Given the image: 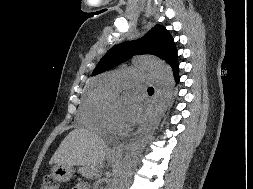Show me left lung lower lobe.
I'll return each instance as SVG.
<instances>
[{
    "instance_id": "obj_1",
    "label": "left lung lower lobe",
    "mask_w": 253,
    "mask_h": 189,
    "mask_svg": "<svg viewBox=\"0 0 253 189\" xmlns=\"http://www.w3.org/2000/svg\"><path fill=\"white\" fill-rule=\"evenodd\" d=\"M173 73H174V76H175V80L176 81H179V75H178V69H179V65H175L173 68Z\"/></svg>"
}]
</instances>
